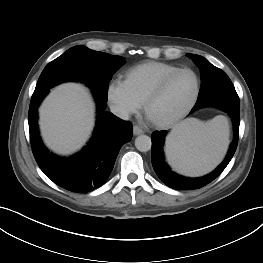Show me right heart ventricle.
<instances>
[{"mask_svg":"<svg viewBox=\"0 0 263 263\" xmlns=\"http://www.w3.org/2000/svg\"><path fill=\"white\" fill-rule=\"evenodd\" d=\"M178 68L164 62H145L126 70L123 82L133 97L142 104L159 81Z\"/></svg>","mask_w":263,"mask_h":263,"instance_id":"obj_1","label":"right heart ventricle"}]
</instances>
